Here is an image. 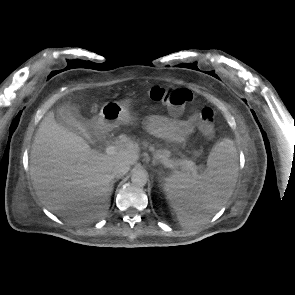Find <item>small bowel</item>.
Returning a JSON list of instances; mask_svg holds the SVG:
<instances>
[{
  "label": "small bowel",
  "mask_w": 295,
  "mask_h": 295,
  "mask_svg": "<svg viewBox=\"0 0 295 295\" xmlns=\"http://www.w3.org/2000/svg\"><path fill=\"white\" fill-rule=\"evenodd\" d=\"M195 122L196 115L188 119L152 116L148 119V128L164 139L180 142L193 131Z\"/></svg>",
  "instance_id": "small-bowel-1"
}]
</instances>
